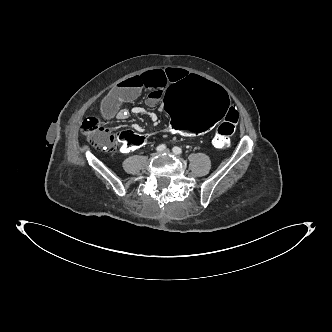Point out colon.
<instances>
[{"mask_svg": "<svg viewBox=\"0 0 332 332\" xmlns=\"http://www.w3.org/2000/svg\"><path fill=\"white\" fill-rule=\"evenodd\" d=\"M228 93L217 82L206 80L197 75H188L172 86L163 102L168 123L165 130L171 134L197 136L219 124L213 142L216 147L230 144L238 121V113L230 110ZM81 132L86 141L97 148L114 152L119 146L113 133L95 117L85 118ZM120 153L135 152L140 145L153 142L151 133L138 135L136 132L121 133Z\"/></svg>", "mask_w": 332, "mask_h": 332, "instance_id": "obj_1", "label": "colon"}]
</instances>
